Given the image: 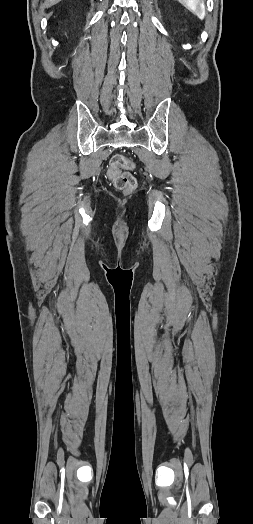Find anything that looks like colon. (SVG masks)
<instances>
[{
    "instance_id": "1",
    "label": "colon",
    "mask_w": 253,
    "mask_h": 524,
    "mask_svg": "<svg viewBox=\"0 0 253 524\" xmlns=\"http://www.w3.org/2000/svg\"><path fill=\"white\" fill-rule=\"evenodd\" d=\"M134 164L124 156L117 155L112 158L107 169V176L113 183L114 187L125 193H130L136 188V179L134 176L123 169H133Z\"/></svg>"
}]
</instances>
